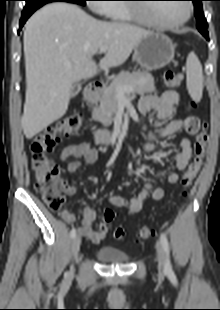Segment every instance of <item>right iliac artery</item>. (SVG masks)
<instances>
[{
  "mask_svg": "<svg viewBox=\"0 0 220 310\" xmlns=\"http://www.w3.org/2000/svg\"><path fill=\"white\" fill-rule=\"evenodd\" d=\"M70 236H71V238H74V237L76 236V229H75V228H73V229L71 230Z\"/></svg>",
  "mask_w": 220,
  "mask_h": 310,
  "instance_id": "82829eb1",
  "label": "right iliac artery"
}]
</instances>
